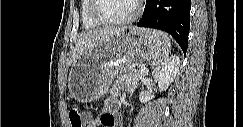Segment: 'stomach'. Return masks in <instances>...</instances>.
<instances>
[{
    "label": "stomach",
    "mask_w": 243,
    "mask_h": 127,
    "mask_svg": "<svg viewBox=\"0 0 243 127\" xmlns=\"http://www.w3.org/2000/svg\"><path fill=\"white\" fill-rule=\"evenodd\" d=\"M153 32L124 28L77 57L68 76L70 95L79 102H91L101 97L116 74L130 71L151 56Z\"/></svg>",
    "instance_id": "stomach-1"
}]
</instances>
